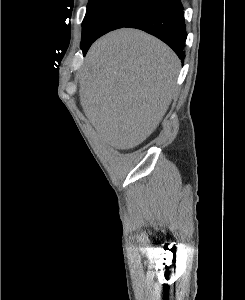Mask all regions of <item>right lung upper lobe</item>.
<instances>
[{
    "label": "right lung upper lobe",
    "instance_id": "cb5924a9",
    "mask_svg": "<svg viewBox=\"0 0 245 300\" xmlns=\"http://www.w3.org/2000/svg\"><path fill=\"white\" fill-rule=\"evenodd\" d=\"M155 1H158V2H163V1H166V0H155Z\"/></svg>",
    "mask_w": 245,
    "mask_h": 300
}]
</instances>
